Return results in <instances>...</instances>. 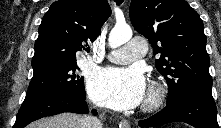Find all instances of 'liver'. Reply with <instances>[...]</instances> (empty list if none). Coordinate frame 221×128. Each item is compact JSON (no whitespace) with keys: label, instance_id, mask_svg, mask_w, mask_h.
<instances>
[{"label":"liver","instance_id":"6515ba94","mask_svg":"<svg viewBox=\"0 0 221 128\" xmlns=\"http://www.w3.org/2000/svg\"><path fill=\"white\" fill-rule=\"evenodd\" d=\"M84 119L85 117L75 113H61L40 119L27 128H84Z\"/></svg>","mask_w":221,"mask_h":128}]
</instances>
